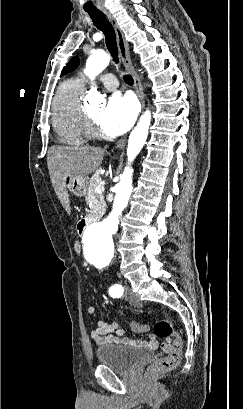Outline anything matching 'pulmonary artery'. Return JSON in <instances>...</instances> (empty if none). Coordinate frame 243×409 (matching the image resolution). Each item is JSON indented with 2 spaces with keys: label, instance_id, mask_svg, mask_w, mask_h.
<instances>
[{
  "label": "pulmonary artery",
  "instance_id": "e3ab8cb5",
  "mask_svg": "<svg viewBox=\"0 0 243 409\" xmlns=\"http://www.w3.org/2000/svg\"><path fill=\"white\" fill-rule=\"evenodd\" d=\"M100 81L107 90H115L118 87V81L111 73L101 76Z\"/></svg>",
  "mask_w": 243,
  "mask_h": 409
}]
</instances>
